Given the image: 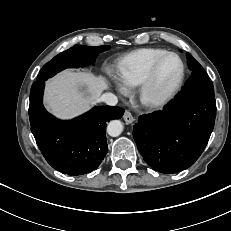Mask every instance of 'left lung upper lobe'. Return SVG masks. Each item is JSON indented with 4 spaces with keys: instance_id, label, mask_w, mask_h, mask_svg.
I'll use <instances>...</instances> for the list:
<instances>
[{
    "instance_id": "1",
    "label": "left lung upper lobe",
    "mask_w": 231,
    "mask_h": 231,
    "mask_svg": "<svg viewBox=\"0 0 231 231\" xmlns=\"http://www.w3.org/2000/svg\"><path fill=\"white\" fill-rule=\"evenodd\" d=\"M186 57L191 76L177 96L200 94L215 97L213 85L205 70L190 53H187Z\"/></svg>"
}]
</instances>
